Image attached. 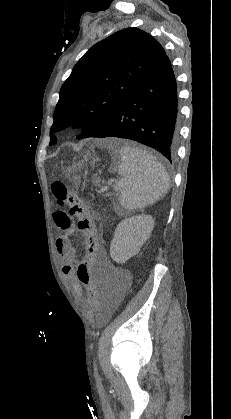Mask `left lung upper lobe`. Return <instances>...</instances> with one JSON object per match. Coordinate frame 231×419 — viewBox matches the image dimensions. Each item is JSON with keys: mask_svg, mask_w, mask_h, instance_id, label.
<instances>
[{"mask_svg": "<svg viewBox=\"0 0 231 419\" xmlns=\"http://www.w3.org/2000/svg\"><path fill=\"white\" fill-rule=\"evenodd\" d=\"M165 56L158 41L138 28L120 30L96 43L61 87L50 145L57 142L53 133L72 124L84 128L78 139L100 131L132 88Z\"/></svg>", "mask_w": 231, "mask_h": 419, "instance_id": "1", "label": "left lung upper lobe"}]
</instances>
